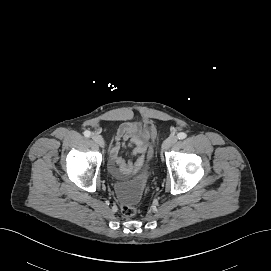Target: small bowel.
<instances>
[{
    "label": "small bowel",
    "instance_id": "1",
    "mask_svg": "<svg viewBox=\"0 0 271 271\" xmlns=\"http://www.w3.org/2000/svg\"><path fill=\"white\" fill-rule=\"evenodd\" d=\"M154 131L145 123L124 122L116 132L114 142L110 143V171L117 178H123L138 172L144 163L152 157L151 138ZM126 146L132 149V159L124 160L120 149Z\"/></svg>",
    "mask_w": 271,
    "mask_h": 271
}]
</instances>
